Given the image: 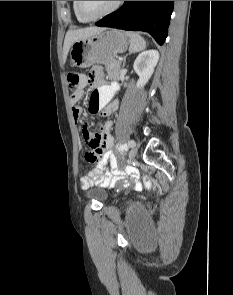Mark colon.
I'll return each instance as SVG.
<instances>
[{"instance_id": "5ec220e1", "label": "colon", "mask_w": 233, "mask_h": 295, "mask_svg": "<svg viewBox=\"0 0 233 295\" xmlns=\"http://www.w3.org/2000/svg\"><path fill=\"white\" fill-rule=\"evenodd\" d=\"M67 81L71 96H75L83 92L84 88L89 83L86 77L74 71L68 72ZM84 136L88 147L85 159L88 164L94 165L98 162L102 154L101 139L98 134H92L88 131L84 132ZM144 181L148 187L151 186V178L148 175L144 176Z\"/></svg>"}]
</instances>
